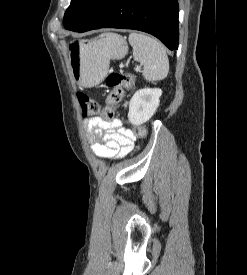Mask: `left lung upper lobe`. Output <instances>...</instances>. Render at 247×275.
I'll return each instance as SVG.
<instances>
[{
  "instance_id": "left-lung-upper-lobe-1",
  "label": "left lung upper lobe",
  "mask_w": 247,
  "mask_h": 275,
  "mask_svg": "<svg viewBox=\"0 0 247 275\" xmlns=\"http://www.w3.org/2000/svg\"><path fill=\"white\" fill-rule=\"evenodd\" d=\"M103 0H71L63 23L66 29L80 28Z\"/></svg>"
}]
</instances>
